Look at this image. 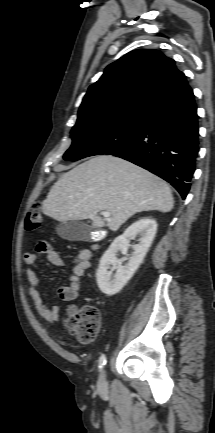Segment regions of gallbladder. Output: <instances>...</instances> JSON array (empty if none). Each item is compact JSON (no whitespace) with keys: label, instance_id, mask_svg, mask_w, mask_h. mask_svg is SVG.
Masks as SVG:
<instances>
[{"label":"gallbladder","instance_id":"obj_1","mask_svg":"<svg viewBox=\"0 0 215 433\" xmlns=\"http://www.w3.org/2000/svg\"><path fill=\"white\" fill-rule=\"evenodd\" d=\"M91 228L81 221L61 222L56 227L57 234L68 241H87L90 239Z\"/></svg>","mask_w":215,"mask_h":433}]
</instances>
